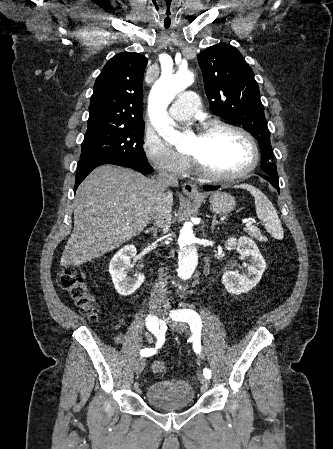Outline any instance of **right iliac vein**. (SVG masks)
Listing matches in <instances>:
<instances>
[{"instance_id": "obj_1", "label": "right iliac vein", "mask_w": 333, "mask_h": 449, "mask_svg": "<svg viewBox=\"0 0 333 449\" xmlns=\"http://www.w3.org/2000/svg\"><path fill=\"white\" fill-rule=\"evenodd\" d=\"M151 310L155 314H160L162 311V305L158 302H152L151 303ZM145 358L144 357H138L135 363V371L136 375H140L145 367Z\"/></svg>"}]
</instances>
